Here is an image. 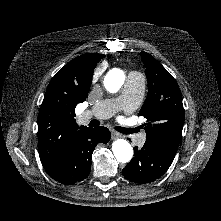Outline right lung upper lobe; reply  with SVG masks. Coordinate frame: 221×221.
Segmentation results:
<instances>
[{"label": "right lung upper lobe", "instance_id": "right-lung-upper-lobe-1", "mask_svg": "<svg viewBox=\"0 0 221 221\" xmlns=\"http://www.w3.org/2000/svg\"><path fill=\"white\" fill-rule=\"evenodd\" d=\"M103 54L87 53L66 64L49 83L38 115V151L50 175L56 169L69 139L82 127L75 107L86 100L93 71Z\"/></svg>", "mask_w": 221, "mask_h": 221}]
</instances>
